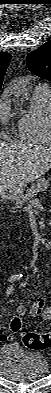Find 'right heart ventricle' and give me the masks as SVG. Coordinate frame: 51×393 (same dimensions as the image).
<instances>
[{
  "instance_id": "obj_1",
  "label": "right heart ventricle",
  "mask_w": 51,
  "mask_h": 393,
  "mask_svg": "<svg viewBox=\"0 0 51 393\" xmlns=\"http://www.w3.org/2000/svg\"><path fill=\"white\" fill-rule=\"evenodd\" d=\"M19 137L26 143L44 145L51 141V90L38 86L33 93L30 107L19 118Z\"/></svg>"
}]
</instances>
